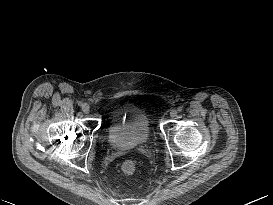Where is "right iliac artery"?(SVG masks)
Here are the masks:
<instances>
[{
    "mask_svg": "<svg viewBox=\"0 0 273 205\" xmlns=\"http://www.w3.org/2000/svg\"><path fill=\"white\" fill-rule=\"evenodd\" d=\"M78 105H79V106H82V102H81V101H80V102H78Z\"/></svg>",
    "mask_w": 273,
    "mask_h": 205,
    "instance_id": "right-iliac-artery-1",
    "label": "right iliac artery"
}]
</instances>
